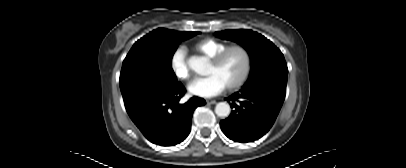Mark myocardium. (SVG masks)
<instances>
[{"label": "myocardium", "instance_id": "f54148a6", "mask_svg": "<svg viewBox=\"0 0 406 168\" xmlns=\"http://www.w3.org/2000/svg\"><path fill=\"white\" fill-rule=\"evenodd\" d=\"M233 50H239L243 54L244 68H243V72H242L241 76L239 77V79L235 83L226 87V89L229 91H234V90L239 89L247 81V79L250 75V72H251V68H252L251 51L242 44H234V45L227 46L226 48L221 50L219 53H217L214 57H212L210 59L211 65L218 66L222 63V61L227 56V54Z\"/></svg>", "mask_w": 406, "mask_h": 168}]
</instances>
